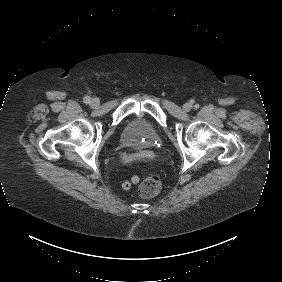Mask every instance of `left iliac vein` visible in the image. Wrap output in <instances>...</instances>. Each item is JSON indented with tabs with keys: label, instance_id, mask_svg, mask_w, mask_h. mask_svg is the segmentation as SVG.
<instances>
[{
	"label": "left iliac vein",
	"instance_id": "1",
	"mask_svg": "<svg viewBox=\"0 0 282 282\" xmlns=\"http://www.w3.org/2000/svg\"><path fill=\"white\" fill-rule=\"evenodd\" d=\"M191 108H192V105L190 103H185L183 105V110L184 111H189V110H191Z\"/></svg>",
	"mask_w": 282,
	"mask_h": 282
}]
</instances>
